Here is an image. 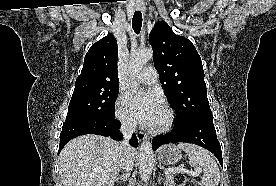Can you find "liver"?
Masks as SVG:
<instances>
[{"label":"liver","instance_id":"1","mask_svg":"<svg viewBox=\"0 0 276 186\" xmlns=\"http://www.w3.org/2000/svg\"><path fill=\"white\" fill-rule=\"evenodd\" d=\"M122 162L120 145L112 139L92 134L76 137L59 155L63 186H113Z\"/></svg>","mask_w":276,"mask_h":186}]
</instances>
